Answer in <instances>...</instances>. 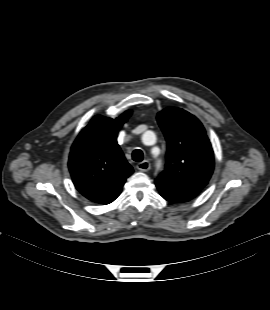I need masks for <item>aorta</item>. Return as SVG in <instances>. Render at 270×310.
I'll return each mask as SVG.
<instances>
[{
	"mask_svg": "<svg viewBox=\"0 0 270 310\" xmlns=\"http://www.w3.org/2000/svg\"><path fill=\"white\" fill-rule=\"evenodd\" d=\"M153 135V133L151 132V131H148V132H146L145 134H144V137L146 136V135Z\"/></svg>",
	"mask_w": 270,
	"mask_h": 310,
	"instance_id": "obj_1",
	"label": "aorta"
}]
</instances>
